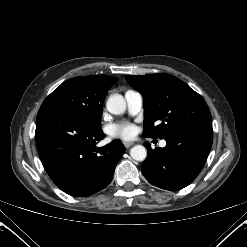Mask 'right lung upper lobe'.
I'll list each match as a JSON object with an SVG mask.
<instances>
[{
    "mask_svg": "<svg viewBox=\"0 0 247 247\" xmlns=\"http://www.w3.org/2000/svg\"><path fill=\"white\" fill-rule=\"evenodd\" d=\"M95 82H97L100 87L104 90V92L107 94L110 87L117 81L116 77H109V76H90Z\"/></svg>",
    "mask_w": 247,
    "mask_h": 247,
    "instance_id": "right-lung-upper-lobe-1",
    "label": "right lung upper lobe"
}]
</instances>
